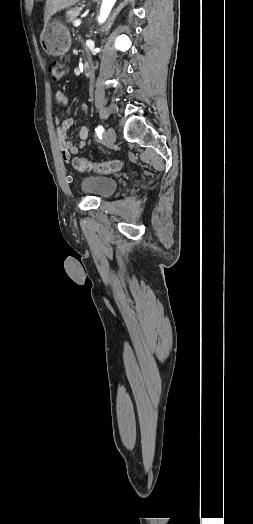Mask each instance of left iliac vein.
<instances>
[{
	"label": "left iliac vein",
	"instance_id": "obj_1",
	"mask_svg": "<svg viewBox=\"0 0 253 524\" xmlns=\"http://www.w3.org/2000/svg\"><path fill=\"white\" fill-rule=\"evenodd\" d=\"M103 139H104L105 144L109 146L113 145L116 140V133L114 129L108 128L103 135Z\"/></svg>",
	"mask_w": 253,
	"mask_h": 524
}]
</instances>
